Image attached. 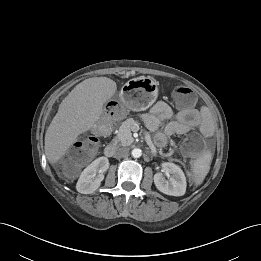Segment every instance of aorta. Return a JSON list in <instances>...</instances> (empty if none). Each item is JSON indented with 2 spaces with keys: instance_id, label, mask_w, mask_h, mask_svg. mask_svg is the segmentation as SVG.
<instances>
[{
  "instance_id": "1",
  "label": "aorta",
  "mask_w": 261,
  "mask_h": 261,
  "mask_svg": "<svg viewBox=\"0 0 261 261\" xmlns=\"http://www.w3.org/2000/svg\"><path fill=\"white\" fill-rule=\"evenodd\" d=\"M131 153L134 158H139L142 155V150L139 148H134Z\"/></svg>"
}]
</instances>
